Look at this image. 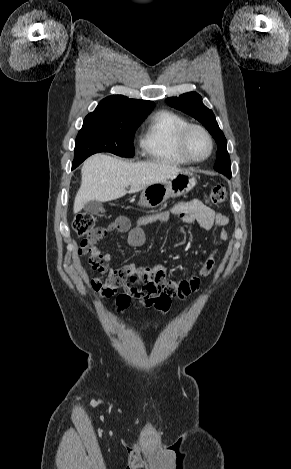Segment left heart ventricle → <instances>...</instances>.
<instances>
[{
    "label": "left heart ventricle",
    "instance_id": "b2bd125f",
    "mask_svg": "<svg viewBox=\"0 0 291 469\" xmlns=\"http://www.w3.org/2000/svg\"><path fill=\"white\" fill-rule=\"evenodd\" d=\"M187 147L192 156L200 158L208 153L209 142L207 137L201 131L195 129L188 137Z\"/></svg>",
    "mask_w": 291,
    "mask_h": 469
}]
</instances>
